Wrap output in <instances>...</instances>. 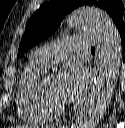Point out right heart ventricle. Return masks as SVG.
I'll return each instance as SVG.
<instances>
[{
	"label": "right heart ventricle",
	"mask_w": 125,
	"mask_h": 128,
	"mask_svg": "<svg viewBox=\"0 0 125 128\" xmlns=\"http://www.w3.org/2000/svg\"><path fill=\"white\" fill-rule=\"evenodd\" d=\"M44 71V68L29 60L23 67L18 81L16 100L18 114L23 120L35 124L49 122L53 117L42 106L37 93V86Z\"/></svg>",
	"instance_id": "1"
}]
</instances>
